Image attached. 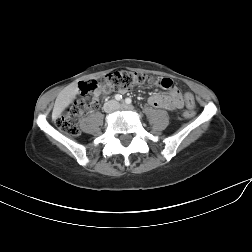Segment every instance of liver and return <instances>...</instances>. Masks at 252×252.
<instances>
[{"mask_svg":"<svg viewBox=\"0 0 252 252\" xmlns=\"http://www.w3.org/2000/svg\"><path fill=\"white\" fill-rule=\"evenodd\" d=\"M77 93V83H71L58 94L52 112V118L54 120H56L65 110V108L68 107L69 104L75 99Z\"/></svg>","mask_w":252,"mask_h":252,"instance_id":"1","label":"liver"}]
</instances>
